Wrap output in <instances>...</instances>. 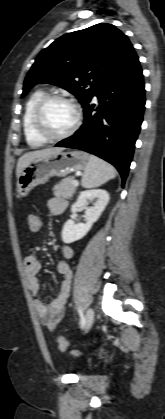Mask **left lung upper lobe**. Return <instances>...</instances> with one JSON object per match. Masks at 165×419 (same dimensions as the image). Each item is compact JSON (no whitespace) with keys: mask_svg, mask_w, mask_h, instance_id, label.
Listing matches in <instances>:
<instances>
[{"mask_svg":"<svg viewBox=\"0 0 165 419\" xmlns=\"http://www.w3.org/2000/svg\"><path fill=\"white\" fill-rule=\"evenodd\" d=\"M133 52L126 35L111 24L65 34L39 53L25 78L22 97L36 84L50 83L75 95L84 108L101 82Z\"/></svg>","mask_w":165,"mask_h":419,"instance_id":"5c2ea615","label":"left lung upper lobe"}]
</instances>
